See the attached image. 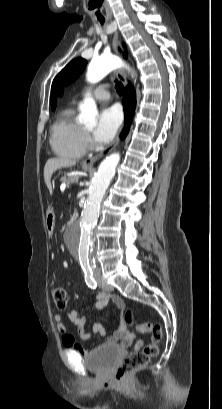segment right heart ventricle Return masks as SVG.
Instances as JSON below:
<instances>
[{"label": "right heart ventricle", "mask_w": 222, "mask_h": 409, "mask_svg": "<svg viewBox=\"0 0 222 409\" xmlns=\"http://www.w3.org/2000/svg\"><path fill=\"white\" fill-rule=\"evenodd\" d=\"M50 142L54 152L63 158L78 159L84 155L85 133L73 107H66L58 115L51 128Z\"/></svg>", "instance_id": "e07e8e85"}]
</instances>
